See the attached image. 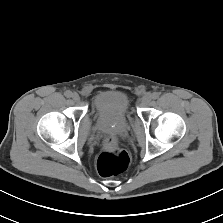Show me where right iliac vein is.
Instances as JSON below:
<instances>
[{
  "label": "right iliac vein",
  "mask_w": 223,
  "mask_h": 223,
  "mask_svg": "<svg viewBox=\"0 0 223 223\" xmlns=\"http://www.w3.org/2000/svg\"><path fill=\"white\" fill-rule=\"evenodd\" d=\"M72 99L75 101V102H78L80 100V96L78 93L74 92L72 93Z\"/></svg>",
  "instance_id": "obj_1"
}]
</instances>
